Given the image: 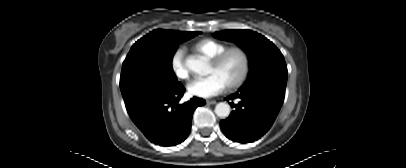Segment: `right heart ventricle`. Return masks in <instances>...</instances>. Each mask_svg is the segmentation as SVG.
I'll list each match as a JSON object with an SVG mask.
<instances>
[{"label": "right heart ventricle", "mask_w": 406, "mask_h": 168, "mask_svg": "<svg viewBox=\"0 0 406 168\" xmlns=\"http://www.w3.org/2000/svg\"><path fill=\"white\" fill-rule=\"evenodd\" d=\"M227 46L213 39H203L194 45V49L208 59L215 57Z\"/></svg>", "instance_id": "e07e8e85"}]
</instances>
